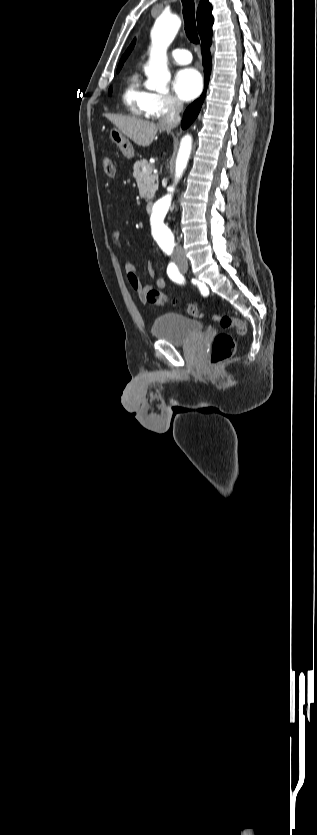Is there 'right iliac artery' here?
Here are the masks:
<instances>
[{"label":"right iliac artery","instance_id":"obj_1","mask_svg":"<svg viewBox=\"0 0 317 835\" xmlns=\"http://www.w3.org/2000/svg\"><path fill=\"white\" fill-rule=\"evenodd\" d=\"M167 274L172 281H174L176 283H179V284H181L183 282V277L180 274V272H179L177 266L175 265V263H173V262L169 263V265L167 267Z\"/></svg>","mask_w":317,"mask_h":835}]
</instances>
